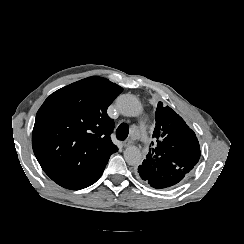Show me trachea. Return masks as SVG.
Masks as SVG:
<instances>
[{
    "label": "trachea",
    "instance_id": "1",
    "mask_svg": "<svg viewBox=\"0 0 244 244\" xmlns=\"http://www.w3.org/2000/svg\"><path fill=\"white\" fill-rule=\"evenodd\" d=\"M128 133H129V128L126 124L123 123L118 126L116 130V137L119 140H126Z\"/></svg>",
    "mask_w": 244,
    "mask_h": 244
}]
</instances>
